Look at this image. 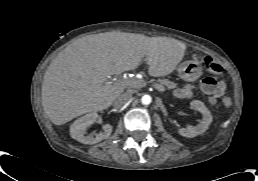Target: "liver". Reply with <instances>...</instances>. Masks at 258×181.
<instances>
[{"label":"liver","mask_w":258,"mask_h":181,"mask_svg":"<svg viewBox=\"0 0 258 181\" xmlns=\"http://www.w3.org/2000/svg\"><path fill=\"white\" fill-rule=\"evenodd\" d=\"M185 44L167 37L107 32L85 36L67 46L48 66L42 106L55 125L109 108L123 88L106 82L110 75L136 69L145 60L148 74L172 73L184 57Z\"/></svg>","instance_id":"obj_1"}]
</instances>
